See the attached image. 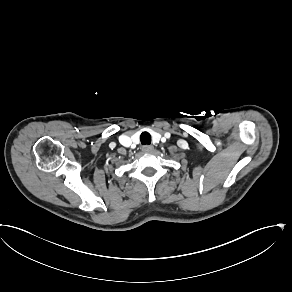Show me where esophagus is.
<instances>
[{
    "mask_svg": "<svg viewBox=\"0 0 292 292\" xmlns=\"http://www.w3.org/2000/svg\"><path fill=\"white\" fill-rule=\"evenodd\" d=\"M142 151L145 153H152L154 151V147L152 145H144L142 147Z\"/></svg>",
    "mask_w": 292,
    "mask_h": 292,
    "instance_id": "34e87169",
    "label": "esophagus"
}]
</instances>
